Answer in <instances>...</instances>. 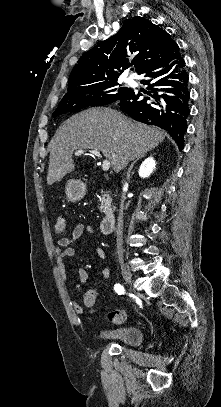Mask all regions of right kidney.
Wrapping results in <instances>:
<instances>
[{
    "label": "right kidney",
    "mask_w": 221,
    "mask_h": 407,
    "mask_svg": "<svg viewBox=\"0 0 221 407\" xmlns=\"http://www.w3.org/2000/svg\"><path fill=\"white\" fill-rule=\"evenodd\" d=\"M156 162L153 157H148L144 160V162L140 165L138 174L141 178H147L155 169Z\"/></svg>",
    "instance_id": "ca27d5eb"
}]
</instances>
